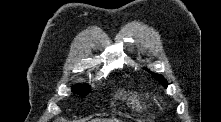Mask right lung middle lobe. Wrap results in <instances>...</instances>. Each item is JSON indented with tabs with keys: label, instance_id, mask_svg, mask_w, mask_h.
Here are the masks:
<instances>
[{
	"label": "right lung middle lobe",
	"instance_id": "1",
	"mask_svg": "<svg viewBox=\"0 0 221 122\" xmlns=\"http://www.w3.org/2000/svg\"><path fill=\"white\" fill-rule=\"evenodd\" d=\"M90 90V86H87V85H75L74 88H73V92L75 94H79L80 96H85L88 94Z\"/></svg>",
	"mask_w": 221,
	"mask_h": 122
}]
</instances>
